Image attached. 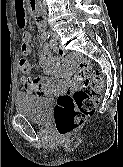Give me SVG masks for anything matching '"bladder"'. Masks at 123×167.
I'll return each mask as SVG.
<instances>
[{"label":"bladder","mask_w":123,"mask_h":167,"mask_svg":"<svg viewBox=\"0 0 123 167\" xmlns=\"http://www.w3.org/2000/svg\"><path fill=\"white\" fill-rule=\"evenodd\" d=\"M52 104V98L45 96L19 95L15 99L17 113L39 124L47 122Z\"/></svg>","instance_id":"1"}]
</instances>
